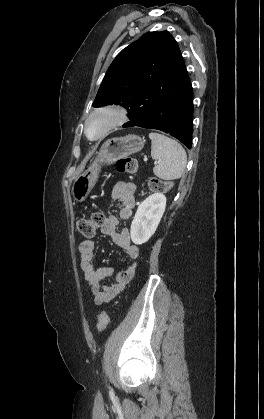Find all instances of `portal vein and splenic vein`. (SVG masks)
Segmentation results:
<instances>
[{"label":"portal vein and splenic vein","instance_id":"obj_1","mask_svg":"<svg viewBox=\"0 0 264 419\" xmlns=\"http://www.w3.org/2000/svg\"><path fill=\"white\" fill-rule=\"evenodd\" d=\"M144 161H147V157L144 158ZM155 164H157V162H155Z\"/></svg>","mask_w":264,"mask_h":419}]
</instances>
